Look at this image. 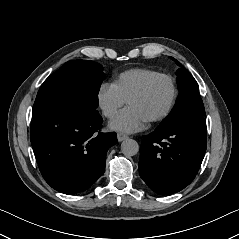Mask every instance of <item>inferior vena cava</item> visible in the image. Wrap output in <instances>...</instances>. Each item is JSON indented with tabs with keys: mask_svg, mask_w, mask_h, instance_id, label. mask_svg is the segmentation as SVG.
Masks as SVG:
<instances>
[{
	"mask_svg": "<svg viewBox=\"0 0 239 239\" xmlns=\"http://www.w3.org/2000/svg\"><path fill=\"white\" fill-rule=\"evenodd\" d=\"M103 114H104L105 116L109 117V116L112 115V111H111L110 109H105V110L103 111Z\"/></svg>",
	"mask_w": 239,
	"mask_h": 239,
	"instance_id": "obj_1",
	"label": "inferior vena cava"
}]
</instances>
